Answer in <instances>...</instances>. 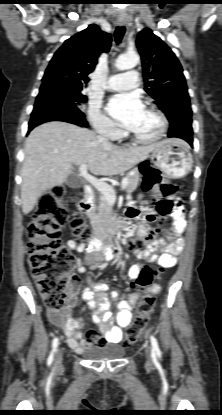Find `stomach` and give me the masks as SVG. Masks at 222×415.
<instances>
[{
	"label": "stomach",
	"instance_id": "0dacf381",
	"mask_svg": "<svg viewBox=\"0 0 222 415\" xmlns=\"http://www.w3.org/2000/svg\"><path fill=\"white\" fill-rule=\"evenodd\" d=\"M162 172L172 178H182L192 169L193 159L189 146L179 139H166L157 143L147 156Z\"/></svg>",
	"mask_w": 222,
	"mask_h": 415
}]
</instances>
